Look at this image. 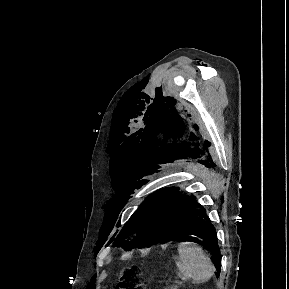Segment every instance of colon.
<instances>
[{"label":"colon","mask_w":289,"mask_h":289,"mask_svg":"<svg viewBox=\"0 0 289 289\" xmlns=\"http://www.w3.org/2000/svg\"><path fill=\"white\" fill-rule=\"evenodd\" d=\"M142 286L137 273L132 272L128 276L122 278L116 286V289L140 288Z\"/></svg>","instance_id":"1"}]
</instances>
